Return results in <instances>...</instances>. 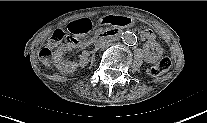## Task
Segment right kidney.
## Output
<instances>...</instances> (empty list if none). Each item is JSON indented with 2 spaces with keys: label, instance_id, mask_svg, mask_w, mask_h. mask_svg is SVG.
Returning a JSON list of instances; mask_svg holds the SVG:
<instances>
[{
  "label": "right kidney",
  "instance_id": "ca27d5eb",
  "mask_svg": "<svg viewBox=\"0 0 207 123\" xmlns=\"http://www.w3.org/2000/svg\"><path fill=\"white\" fill-rule=\"evenodd\" d=\"M66 48L64 46H60L54 52L55 66L62 73H70L73 71L75 66L69 62H65L62 58V55L65 53Z\"/></svg>",
  "mask_w": 207,
  "mask_h": 123
}]
</instances>
